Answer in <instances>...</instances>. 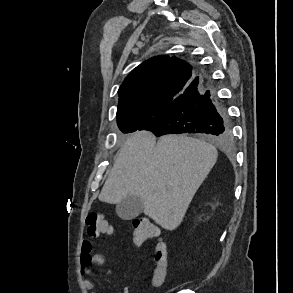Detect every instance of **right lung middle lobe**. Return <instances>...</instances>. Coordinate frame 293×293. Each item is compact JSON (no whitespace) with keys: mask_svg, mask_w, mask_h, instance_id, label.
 <instances>
[{"mask_svg":"<svg viewBox=\"0 0 293 293\" xmlns=\"http://www.w3.org/2000/svg\"><path fill=\"white\" fill-rule=\"evenodd\" d=\"M153 116L154 113L149 108H140L132 112L119 115L117 117V123L122 132L130 133L138 130L143 124L153 118Z\"/></svg>","mask_w":293,"mask_h":293,"instance_id":"right-lung-middle-lobe-1","label":"right lung middle lobe"}]
</instances>
